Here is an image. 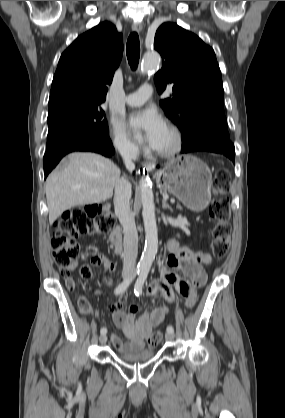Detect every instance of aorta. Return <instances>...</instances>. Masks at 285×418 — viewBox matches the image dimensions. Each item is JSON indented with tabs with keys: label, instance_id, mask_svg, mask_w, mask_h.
I'll use <instances>...</instances> for the list:
<instances>
[{
	"label": "aorta",
	"instance_id": "aorta-1",
	"mask_svg": "<svg viewBox=\"0 0 285 418\" xmlns=\"http://www.w3.org/2000/svg\"><path fill=\"white\" fill-rule=\"evenodd\" d=\"M160 62L161 57L157 52L145 53L142 59L141 72L146 73L150 70H156L159 68ZM140 189L142 217L145 229V246L138 263V269L141 272L148 273L158 250V229L155 217L154 195L151 181L148 177L141 178Z\"/></svg>",
	"mask_w": 285,
	"mask_h": 418
}]
</instances>
